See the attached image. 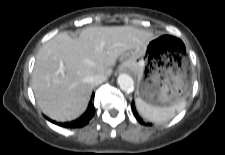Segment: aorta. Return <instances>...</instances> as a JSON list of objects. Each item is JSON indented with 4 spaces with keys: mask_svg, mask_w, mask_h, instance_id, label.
<instances>
[{
    "mask_svg": "<svg viewBox=\"0 0 225 155\" xmlns=\"http://www.w3.org/2000/svg\"><path fill=\"white\" fill-rule=\"evenodd\" d=\"M117 83L123 91H131L134 88V81L128 74H120Z\"/></svg>",
    "mask_w": 225,
    "mask_h": 155,
    "instance_id": "762f6f07",
    "label": "aorta"
}]
</instances>
